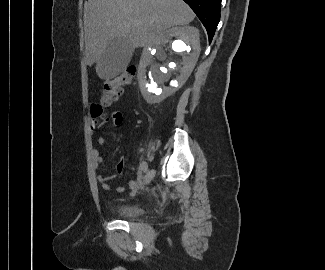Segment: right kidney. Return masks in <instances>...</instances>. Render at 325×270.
Here are the masks:
<instances>
[{"label": "right kidney", "mask_w": 325, "mask_h": 270, "mask_svg": "<svg viewBox=\"0 0 325 270\" xmlns=\"http://www.w3.org/2000/svg\"><path fill=\"white\" fill-rule=\"evenodd\" d=\"M200 50L199 31L195 27H175L165 31L141 56L138 81L143 98L154 104L176 92L191 75ZM167 82H170L169 86H165Z\"/></svg>", "instance_id": "ca27d5eb"}]
</instances>
